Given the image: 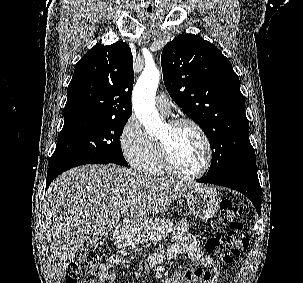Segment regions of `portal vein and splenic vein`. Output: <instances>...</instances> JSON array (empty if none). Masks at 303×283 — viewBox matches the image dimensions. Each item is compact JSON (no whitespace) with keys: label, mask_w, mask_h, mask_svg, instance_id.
<instances>
[{"label":"portal vein and splenic vein","mask_w":303,"mask_h":283,"mask_svg":"<svg viewBox=\"0 0 303 283\" xmlns=\"http://www.w3.org/2000/svg\"><path fill=\"white\" fill-rule=\"evenodd\" d=\"M124 212H126V209H123V210L121 211V213H124Z\"/></svg>","instance_id":"portal-vein-and-splenic-vein-1"}]
</instances>
